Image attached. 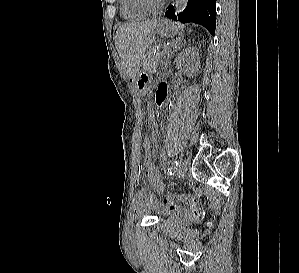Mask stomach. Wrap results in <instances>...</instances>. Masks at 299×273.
I'll return each mask as SVG.
<instances>
[{"instance_id":"1","label":"stomach","mask_w":299,"mask_h":273,"mask_svg":"<svg viewBox=\"0 0 299 273\" xmlns=\"http://www.w3.org/2000/svg\"><path fill=\"white\" fill-rule=\"evenodd\" d=\"M177 28L169 21L163 20L157 26L158 34L168 37L176 32ZM150 81V74L138 75L136 79V86L140 94H145L148 90L147 82Z\"/></svg>"}]
</instances>
